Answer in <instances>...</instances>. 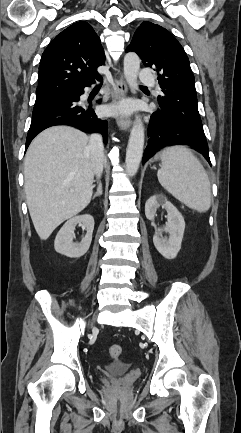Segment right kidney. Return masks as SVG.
<instances>
[{
  "instance_id": "ca27d5eb",
  "label": "right kidney",
  "mask_w": 241,
  "mask_h": 433,
  "mask_svg": "<svg viewBox=\"0 0 241 433\" xmlns=\"http://www.w3.org/2000/svg\"><path fill=\"white\" fill-rule=\"evenodd\" d=\"M77 224L82 225L87 231L80 243L73 242L74 230ZM93 230L94 218L89 214L75 216L69 219L55 238L54 248L56 252L69 258H79L83 256L90 247Z\"/></svg>"
}]
</instances>
